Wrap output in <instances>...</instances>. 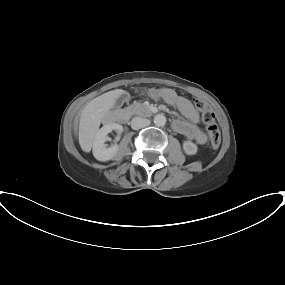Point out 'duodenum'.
Returning <instances> with one entry per match:
<instances>
[{"label": "duodenum", "instance_id": "410a0bca", "mask_svg": "<svg viewBox=\"0 0 285 285\" xmlns=\"http://www.w3.org/2000/svg\"><path fill=\"white\" fill-rule=\"evenodd\" d=\"M134 112L141 116H150L155 112V109L147 106H139L134 108ZM121 115H122L121 112L117 113L116 120H122Z\"/></svg>", "mask_w": 285, "mask_h": 285}]
</instances>
